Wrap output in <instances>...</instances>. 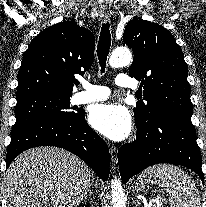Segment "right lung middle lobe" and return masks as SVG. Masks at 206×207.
<instances>
[{"label": "right lung middle lobe", "instance_id": "obj_1", "mask_svg": "<svg viewBox=\"0 0 206 207\" xmlns=\"http://www.w3.org/2000/svg\"><path fill=\"white\" fill-rule=\"evenodd\" d=\"M71 95L36 94L17 99L16 122L20 128L33 122L50 119L77 118L83 112L70 107Z\"/></svg>", "mask_w": 206, "mask_h": 207}]
</instances>
